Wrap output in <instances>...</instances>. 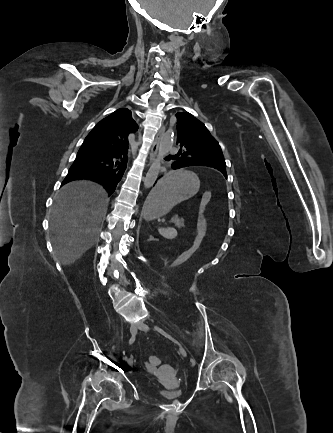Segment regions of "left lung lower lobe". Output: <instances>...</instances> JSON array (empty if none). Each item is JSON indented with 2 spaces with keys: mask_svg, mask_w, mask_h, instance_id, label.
<instances>
[{
  "mask_svg": "<svg viewBox=\"0 0 333 433\" xmlns=\"http://www.w3.org/2000/svg\"><path fill=\"white\" fill-rule=\"evenodd\" d=\"M173 169H175V167H176V164L175 163H173L172 164V166H171ZM155 199L154 198H147L146 199V202H145V204H144V213H145V215L147 216L149 213H151L152 211H153V209H154V207H155Z\"/></svg>",
  "mask_w": 333,
  "mask_h": 433,
  "instance_id": "0a47b994",
  "label": "left lung lower lobe"
}]
</instances>
